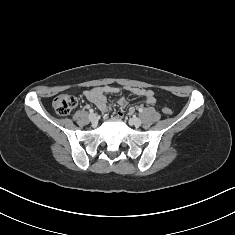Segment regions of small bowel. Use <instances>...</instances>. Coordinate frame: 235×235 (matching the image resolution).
<instances>
[{
	"instance_id": "1",
	"label": "small bowel",
	"mask_w": 235,
	"mask_h": 235,
	"mask_svg": "<svg viewBox=\"0 0 235 235\" xmlns=\"http://www.w3.org/2000/svg\"><path fill=\"white\" fill-rule=\"evenodd\" d=\"M128 90L138 97H143L148 104H154L156 102V98L152 90L143 88H128ZM117 92L118 89L106 86L87 90L83 94L85 98L94 103L100 111L106 112L110 108L106 94ZM118 105L120 107H125L127 105V100L124 97L119 98Z\"/></svg>"
}]
</instances>
